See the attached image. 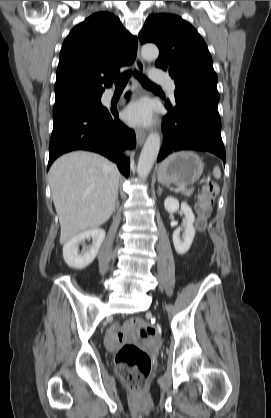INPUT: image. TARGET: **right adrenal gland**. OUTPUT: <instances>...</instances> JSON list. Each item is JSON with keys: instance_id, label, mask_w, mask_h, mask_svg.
I'll use <instances>...</instances> for the list:
<instances>
[{"instance_id": "1", "label": "right adrenal gland", "mask_w": 271, "mask_h": 418, "mask_svg": "<svg viewBox=\"0 0 271 418\" xmlns=\"http://www.w3.org/2000/svg\"><path fill=\"white\" fill-rule=\"evenodd\" d=\"M116 209L119 207V201H118V193H117V197H116Z\"/></svg>"}]
</instances>
